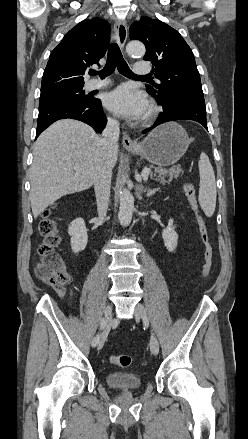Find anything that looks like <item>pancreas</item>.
Returning <instances> with one entry per match:
<instances>
[{
    "label": "pancreas",
    "mask_w": 248,
    "mask_h": 439,
    "mask_svg": "<svg viewBox=\"0 0 248 439\" xmlns=\"http://www.w3.org/2000/svg\"><path fill=\"white\" fill-rule=\"evenodd\" d=\"M181 172L180 165L173 166L169 169H163V168H156L155 173L153 174L154 177H156V181L160 182L161 184L169 183L174 177L176 178L179 173ZM169 176V180H165V177Z\"/></svg>",
    "instance_id": "obj_1"
}]
</instances>
